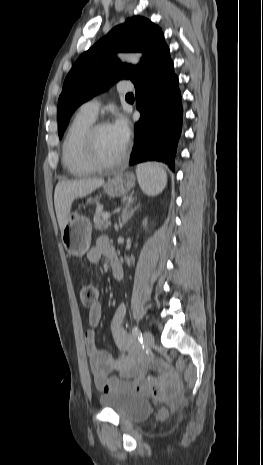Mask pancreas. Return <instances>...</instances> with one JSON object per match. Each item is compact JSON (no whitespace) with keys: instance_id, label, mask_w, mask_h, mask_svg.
Returning <instances> with one entry per match:
<instances>
[{"instance_id":"1","label":"pancreas","mask_w":263,"mask_h":465,"mask_svg":"<svg viewBox=\"0 0 263 465\" xmlns=\"http://www.w3.org/2000/svg\"><path fill=\"white\" fill-rule=\"evenodd\" d=\"M104 213L101 210H96L93 221L94 227L98 230H107L111 226V222L103 218Z\"/></svg>"}]
</instances>
